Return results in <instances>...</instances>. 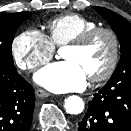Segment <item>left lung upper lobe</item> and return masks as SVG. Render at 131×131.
Listing matches in <instances>:
<instances>
[{
	"label": "left lung upper lobe",
	"instance_id": "1",
	"mask_svg": "<svg viewBox=\"0 0 131 131\" xmlns=\"http://www.w3.org/2000/svg\"><path fill=\"white\" fill-rule=\"evenodd\" d=\"M94 9L107 20L121 45L119 64L108 83L131 82V24L109 9L102 7H94Z\"/></svg>",
	"mask_w": 131,
	"mask_h": 131
}]
</instances>
